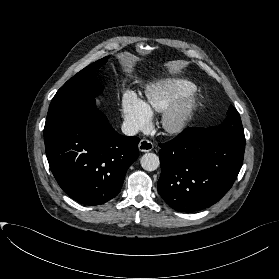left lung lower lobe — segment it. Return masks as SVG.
<instances>
[{"label":"left lung lower lobe","instance_id":"1","mask_svg":"<svg viewBox=\"0 0 279 279\" xmlns=\"http://www.w3.org/2000/svg\"><path fill=\"white\" fill-rule=\"evenodd\" d=\"M160 147V196L172 209L196 212L214 205L232 187L243 164L245 137L188 128Z\"/></svg>","mask_w":279,"mask_h":279}]
</instances>
